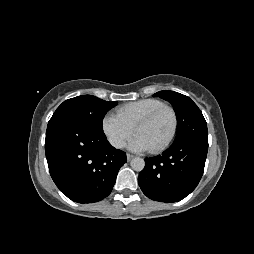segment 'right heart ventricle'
I'll list each match as a JSON object with an SVG mask.
<instances>
[{
	"label": "right heart ventricle",
	"mask_w": 254,
	"mask_h": 254,
	"mask_svg": "<svg viewBox=\"0 0 254 254\" xmlns=\"http://www.w3.org/2000/svg\"><path fill=\"white\" fill-rule=\"evenodd\" d=\"M162 105L164 103L158 99H140L120 106L116 110V115L134 128L140 119Z\"/></svg>",
	"instance_id": "1"
}]
</instances>
